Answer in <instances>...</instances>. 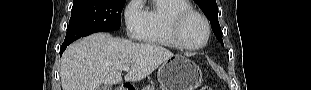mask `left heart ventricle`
<instances>
[{
    "label": "left heart ventricle",
    "mask_w": 311,
    "mask_h": 90,
    "mask_svg": "<svg viewBox=\"0 0 311 90\" xmlns=\"http://www.w3.org/2000/svg\"><path fill=\"white\" fill-rule=\"evenodd\" d=\"M205 33L204 23L196 16L189 18L182 28L184 39L192 45L202 43L205 38Z\"/></svg>",
    "instance_id": "1"
}]
</instances>
